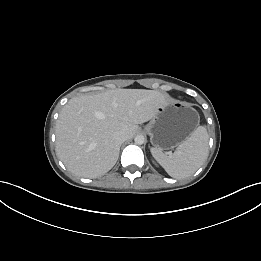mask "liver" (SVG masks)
Wrapping results in <instances>:
<instances>
[{
  "label": "liver",
  "instance_id": "1",
  "mask_svg": "<svg viewBox=\"0 0 261 261\" xmlns=\"http://www.w3.org/2000/svg\"><path fill=\"white\" fill-rule=\"evenodd\" d=\"M169 98L155 90L114 89L74 97L56 123V152L66 168L80 177L96 178L117 162L120 151L113 136L133 137L138 124L151 120Z\"/></svg>",
  "mask_w": 261,
  "mask_h": 261
}]
</instances>
